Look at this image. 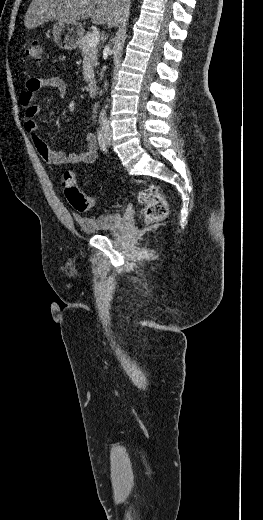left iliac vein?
I'll return each instance as SVG.
<instances>
[{"instance_id":"1","label":"left iliac vein","mask_w":263,"mask_h":520,"mask_svg":"<svg viewBox=\"0 0 263 520\" xmlns=\"http://www.w3.org/2000/svg\"><path fill=\"white\" fill-rule=\"evenodd\" d=\"M106 143L108 146L110 145L109 133H107V135H106Z\"/></svg>"}]
</instances>
